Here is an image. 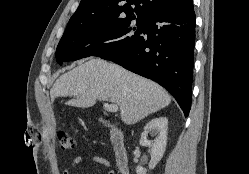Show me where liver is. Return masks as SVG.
<instances>
[{
	"instance_id": "obj_1",
	"label": "liver",
	"mask_w": 249,
	"mask_h": 174,
	"mask_svg": "<svg viewBox=\"0 0 249 174\" xmlns=\"http://www.w3.org/2000/svg\"><path fill=\"white\" fill-rule=\"evenodd\" d=\"M51 100L74 97L66 104L89 108L96 101H109L119 106L122 121L132 125L165 108L171 97L157 83L136 75L121 66L102 59L80 64L61 75L50 90Z\"/></svg>"
}]
</instances>
